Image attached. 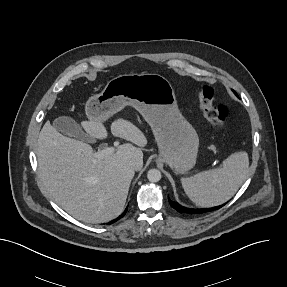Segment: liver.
<instances>
[{"label":"liver","mask_w":287,"mask_h":287,"mask_svg":"<svg viewBox=\"0 0 287 287\" xmlns=\"http://www.w3.org/2000/svg\"><path fill=\"white\" fill-rule=\"evenodd\" d=\"M94 138L108 134L101 120L82 122ZM111 133L126 143L104 159H97L92 147L60 134L49 122L39 133L36 155L42 182L54 201L74 218L86 223H103L124 209L134 170L132 159H142L139 147L147 138L133 123L122 118L111 125Z\"/></svg>","instance_id":"liver-1"}]
</instances>
